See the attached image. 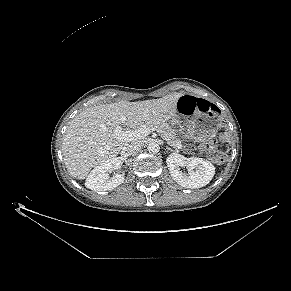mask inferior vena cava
Segmentation results:
<instances>
[{
  "label": "inferior vena cava",
  "mask_w": 291,
  "mask_h": 291,
  "mask_svg": "<svg viewBox=\"0 0 291 291\" xmlns=\"http://www.w3.org/2000/svg\"><path fill=\"white\" fill-rule=\"evenodd\" d=\"M140 148V144L137 142L127 143L123 146L121 154L123 156H130L136 153Z\"/></svg>",
  "instance_id": "obj_1"
}]
</instances>
